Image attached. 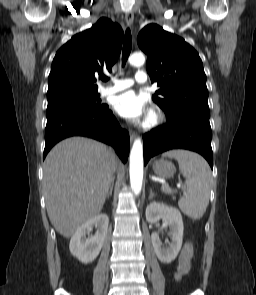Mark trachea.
Here are the masks:
<instances>
[{"label": "trachea", "mask_w": 256, "mask_h": 295, "mask_svg": "<svg viewBox=\"0 0 256 295\" xmlns=\"http://www.w3.org/2000/svg\"><path fill=\"white\" fill-rule=\"evenodd\" d=\"M132 49V37H131V32L130 29L127 28L125 32V37H124V43H123V51H122V67L125 66L127 59L130 55ZM103 80H108L107 77H105Z\"/></svg>", "instance_id": "3493384b"}]
</instances>
